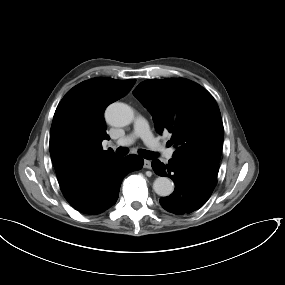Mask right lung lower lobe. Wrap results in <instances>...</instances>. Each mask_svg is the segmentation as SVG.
<instances>
[{
    "instance_id": "1",
    "label": "right lung lower lobe",
    "mask_w": 285,
    "mask_h": 285,
    "mask_svg": "<svg viewBox=\"0 0 285 285\" xmlns=\"http://www.w3.org/2000/svg\"><path fill=\"white\" fill-rule=\"evenodd\" d=\"M142 167L143 159L137 155L119 158L100 169L67 201L82 214H100L117 201L124 176Z\"/></svg>"
}]
</instances>
